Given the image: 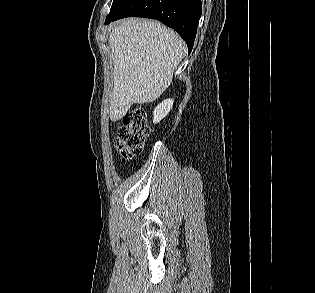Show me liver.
Segmentation results:
<instances>
[{
  "label": "liver",
  "mask_w": 315,
  "mask_h": 293,
  "mask_svg": "<svg viewBox=\"0 0 315 293\" xmlns=\"http://www.w3.org/2000/svg\"><path fill=\"white\" fill-rule=\"evenodd\" d=\"M113 90L112 121L121 120L135 104L156 100L171 84L174 70L186 54V44L170 28L154 20L129 18L111 27Z\"/></svg>",
  "instance_id": "1"
}]
</instances>
